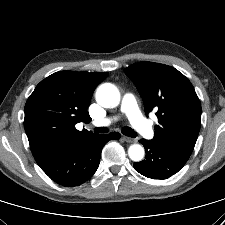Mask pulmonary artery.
<instances>
[{
	"label": "pulmonary artery",
	"mask_w": 225,
	"mask_h": 225,
	"mask_svg": "<svg viewBox=\"0 0 225 225\" xmlns=\"http://www.w3.org/2000/svg\"><path fill=\"white\" fill-rule=\"evenodd\" d=\"M121 110L126 114L132 126L146 139L154 136V131L149 122L143 117L132 93L124 94L121 102ZM113 121L112 118H105L97 122L99 126H105Z\"/></svg>",
	"instance_id": "pulmonary-artery-1"
}]
</instances>
